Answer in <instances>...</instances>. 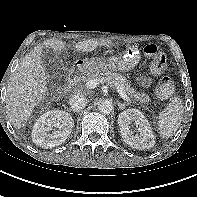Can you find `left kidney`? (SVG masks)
<instances>
[{"label": "left kidney", "instance_id": "5707ae66", "mask_svg": "<svg viewBox=\"0 0 197 197\" xmlns=\"http://www.w3.org/2000/svg\"><path fill=\"white\" fill-rule=\"evenodd\" d=\"M134 123L138 127L140 135L134 134L130 129V124ZM118 124L124 142L132 148L138 150L150 149L155 144V138L150 124L146 117L137 109H128L118 116Z\"/></svg>", "mask_w": 197, "mask_h": 197}]
</instances>
